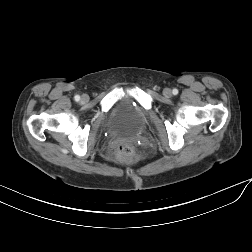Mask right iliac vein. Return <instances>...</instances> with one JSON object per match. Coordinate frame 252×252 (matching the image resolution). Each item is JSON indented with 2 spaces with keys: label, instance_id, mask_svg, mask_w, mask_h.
Instances as JSON below:
<instances>
[{
  "label": "right iliac vein",
  "instance_id": "right-iliac-vein-1",
  "mask_svg": "<svg viewBox=\"0 0 252 252\" xmlns=\"http://www.w3.org/2000/svg\"><path fill=\"white\" fill-rule=\"evenodd\" d=\"M81 100L83 102H87L88 101V95H86V94L82 95Z\"/></svg>",
  "mask_w": 252,
  "mask_h": 252
}]
</instances>
